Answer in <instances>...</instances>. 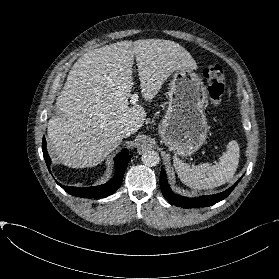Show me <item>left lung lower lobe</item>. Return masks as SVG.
Instances as JSON below:
<instances>
[{
  "instance_id": "left-lung-lower-lobe-1",
  "label": "left lung lower lobe",
  "mask_w": 279,
  "mask_h": 279,
  "mask_svg": "<svg viewBox=\"0 0 279 279\" xmlns=\"http://www.w3.org/2000/svg\"><path fill=\"white\" fill-rule=\"evenodd\" d=\"M160 187L165 199H167L171 204L182 207V208H198V207H208L216 204L217 202L225 199L237 185L239 180L235 183L234 186L225 190L224 192L209 195V196H201L198 198H187L180 196L178 194H174L168 185V181L166 178V173L164 169H161L160 173Z\"/></svg>"
}]
</instances>
